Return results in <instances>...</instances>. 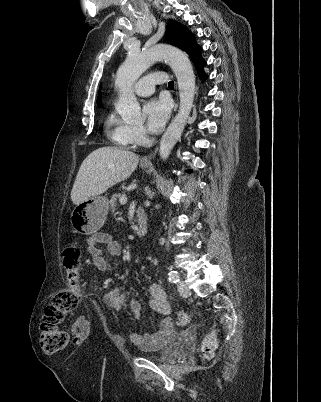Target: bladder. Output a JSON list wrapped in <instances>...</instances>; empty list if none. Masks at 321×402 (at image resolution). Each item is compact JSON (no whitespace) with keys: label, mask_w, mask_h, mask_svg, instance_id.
<instances>
[{"label":"bladder","mask_w":321,"mask_h":402,"mask_svg":"<svg viewBox=\"0 0 321 402\" xmlns=\"http://www.w3.org/2000/svg\"><path fill=\"white\" fill-rule=\"evenodd\" d=\"M143 355L149 359L162 363H172L176 359L171 343L162 345V347L155 353H144Z\"/></svg>","instance_id":"1"}]
</instances>
